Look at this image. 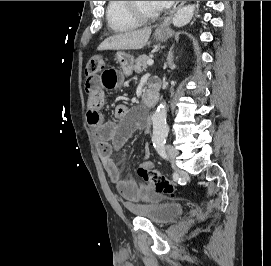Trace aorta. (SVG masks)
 <instances>
[{
    "instance_id": "1",
    "label": "aorta",
    "mask_w": 271,
    "mask_h": 266,
    "mask_svg": "<svg viewBox=\"0 0 271 266\" xmlns=\"http://www.w3.org/2000/svg\"><path fill=\"white\" fill-rule=\"evenodd\" d=\"M195 5H187L180 8L173 16L172 23L175 27H182L188 24L193 18ZM166 103H161L152 117L153 140H164L169 132L166 124Z\"/></svg>"
}]
</instances>
